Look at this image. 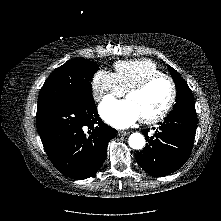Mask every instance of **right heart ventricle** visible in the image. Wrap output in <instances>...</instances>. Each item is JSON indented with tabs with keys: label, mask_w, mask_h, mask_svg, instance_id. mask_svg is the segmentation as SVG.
<instances>
[{
	"label": "right heart ventricle",
	"mask_w": 221,
	"mask_h": 221,
	"mask_svg": "<svg viewBox=\"0 0 221 221\" xmlns=\"http://www.w3.org/2000/svg\"><path fill=\"white\" fill-rule=\"evenodd\" d=\"M114 74L121 88L127 91L152 75L162 74V71L154 62L138 59L116 62Z\"/></svg>",
	"instance_id": "obj_1"
}]
</instances>
